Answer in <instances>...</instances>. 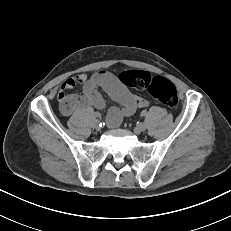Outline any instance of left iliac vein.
<instances>
[{
  "label": "left iliac vein",
  "mask_w": 231,
  "mask_h": 231,
  "mask_svg": "<svg viewBox=\"0 0 231 231\" xmlns=\"http://www.w3.org/2000/svg\"><path fill=\"white\" fill-rule=\"evenodd\" d=\"M145 130H146V124L145 123H140L135 128L136 133H141V132H144Z\"/></svg>",
  "instance_id": "4c4485c4"
}]
</instances>
